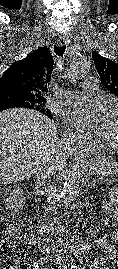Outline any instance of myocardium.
Returning a JSON list of instances; mask_svg holds the SVG:
<instances>
[{
  "mask_svg": "<svg viewBox=\"0 0 118 269\" xmlns=\"http://www.w3.org/2000/svg\"><path fill=\"white\" fill-rule=\"evenodd\" d=\"M114 112H118V104H115L111 107L110 109V112L109 113H114ZM99 143V146L100 145H107L109 146L111 149L115 150L118 152V143H115V142H111V141H108V140H105V141H100L98 142ZM98 148V146H97Z\"/></svg>",
  "mask_w": 118,
  "mask_h": 269,
  "instance_id": "f54148a6",
  "label": "myocardium"
}]
</instances>
